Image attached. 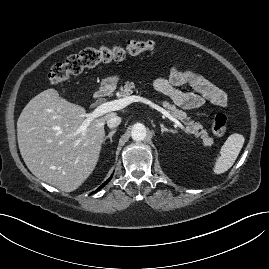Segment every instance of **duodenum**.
I'll use <instances>...</instances> for the list:
<instances>
[{
  "label": "duodenum",
  "mask_w": 269,
  "mask_h": 269,
  "mask_svg": "<svg viewBox=\"0 0 269 269\" xmlns=\"http://www.w3.org/2000/svg\"><path fill=\"white\" fill-rule=\"evenodd\" d=\"M108 93H109V90H108L107 87H105V86L101 87L97 91V93L95 94V96H94L95 101L96 102H102L106 98V96L108 95Z\"/></svg>",
  "instance_id": "1"
}]
</instances>
